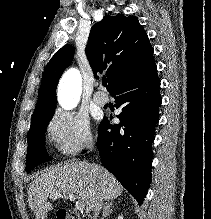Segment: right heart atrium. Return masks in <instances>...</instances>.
Listing matches in <instances>:
<instances>
[{"instance_id": "right-heart-atrium-1", "label": "right heart atrium", "mask_w": 211, "mask_h": 219, "mask_svg": "<svg viewBox=\"0 0 211 219\" xmlns=\"http://www.w3.org/2000/svg\"><path fill=\"white\" fill-rule=\"evenodd\" d=\"M46 134L64 156H75L95 144L87 117L71 111H55L47 123Z\"/></svg>"}]
</instances>
